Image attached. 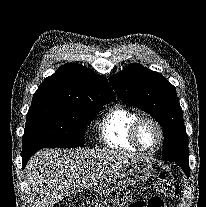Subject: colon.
Returning <instances> with one entry per match:
<instances>
[{"label": "colon", "instance_id": "1", "mask_svg": "<svg viewBox=\"0 0 206 207\" xmlns=\"http://www.w3.org/2000/svg\"><path fill=\"white\" fill-rule=\"evenodd\" d=\"M157 195L147 201H134L129 207H167L165 198L173 197L178 193L176 178L172 172H162L156 181ZM127 199L123 196L104 200L95 207H121Z\"/></svg>", "mask_w": 206, "mask_h": 207}]
</instances>
